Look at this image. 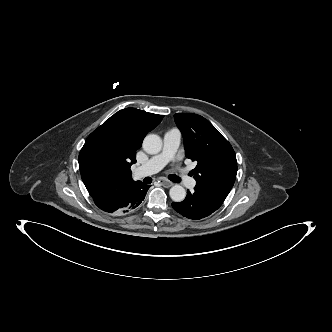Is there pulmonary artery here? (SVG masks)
<instances>
[{
    "mask_svg": "<svg viewBox=\"0 0 332 332\" xmlns=\"http://www.w3.org/2000/svg\"><path fill=\"white\" fill-rule=\"evenodd\" d=\"M181 134L177 129L167 131L163 137L162 151L150 158L147 162L136 168L135 174L138 177L149 176L160 171L175 156L180 145ZM180 179L188 187L193 188L196 184L195 180L181 169Z\"/></svg>",
    "mask_w": 332,
    "mask_h": 332,
    "instance_id": "1",
    "label": "pulmonary artery"
}]
</instances>
